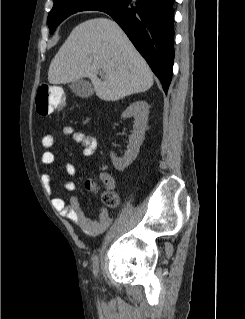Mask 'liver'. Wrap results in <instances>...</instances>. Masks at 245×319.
Returning a JSON list of instances; mask_svg holds the SVG:
<instances>
[{"mask_svg":"<svg viewBox=\"0 0 245 319\" xmlns=\"http://www.w3.org/2000/svg\"><path fill=\"white\" fill-rule=\"evenodd\" d=\"M103 70V80L97 73ZM87 77L96 95L117 101L142 93L153 85V73L113 20L99 17L77 25L52 59L48 70L51 84H66Z\"/></svg>","mask_w":245,"mask_h":319,"instance_id":"1","label":"liver"}]
</instances>
